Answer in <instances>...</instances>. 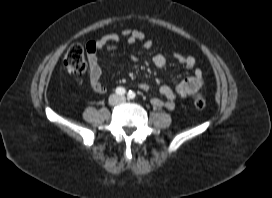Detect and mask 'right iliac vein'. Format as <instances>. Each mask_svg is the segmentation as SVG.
<instances>
[{
	"label": "right iliac vein",
	"mask_w": 272,
	"mask_h": 198,
	"mask_svg": "<svg viewBox=\"0 0 272 198\" xmlns=\"http://www.w3.org/2000/svg\"><path fill=\"white\" fill-rule=\"evenodd\" d=\"M110 102H111L112 104L118 103V102H119L118 96H116V95L112 96L111 99H110Z\"/></svg>",
	"instance_id": "right-iliac-vein-1"
}]
</instances>
